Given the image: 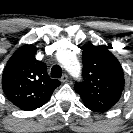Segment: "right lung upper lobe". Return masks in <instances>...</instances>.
I'll use <instances>...</instances> for the list:
<instances>
[{"label":"right lung upper lobe","instance_id":"right-lung-upper-lobe-1","mask_svg":"<svg viewBox=\"0 0 133 133\" xmlns=\"http://www.w3.org/2000/svg\"><path fill=\"white\" fill-rule=\"evenodd\" d=\"M36 47H20L7 62L2 78L6 97L18 108L32 111L43 106L60 81L50 79L46 65L36 60Z\"/></svg>","mask_w":133,"mask_h":133}]
</instances>
